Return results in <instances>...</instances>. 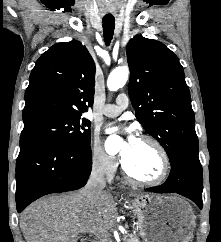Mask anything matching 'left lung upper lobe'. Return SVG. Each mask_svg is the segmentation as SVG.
Wrapping results in <instances>:
<instances>
[{
  "instance_id": "left-lung-upper-lobe-1",
  "label": "left lung upper lobe",
  "mask_w": 221,
  "mask_h": 242,
  "mask_svg": "<svg viewBox=\"0 0 221 242\" xmlns=\"http://www.w3.org/2000/svg\"><path fill=\"white\" fill-rule=\"evenodd\" d=\"M127 61L135 116L164 147L170 163L198 153L191 96L178 57L161 42L137 35L127 45Z\"/></svg>"
}]
</instances>
